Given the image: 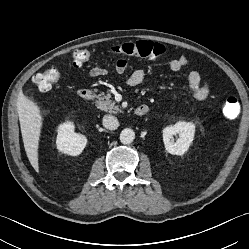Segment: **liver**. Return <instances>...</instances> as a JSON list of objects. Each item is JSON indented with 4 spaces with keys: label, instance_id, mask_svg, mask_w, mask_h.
Instances as JSON below:
<instances>
[{
    "label": "liver",
    "instance_id": "6515ba94",
    "mask_svg": "<svg viewBox=\"0 0 249 249\" xmlns=\"http://www.w3.org/2000/svg\"><path fill=\"white\" fill-rule=\"evenodd\" d=\"M17 110L27 157L35 171L39 172L38 148L43 123L40 108L21 93L17 100Z\"/></svg>",
    "mask_w": 249,
    "mask_h": 249
}]
</instances>
